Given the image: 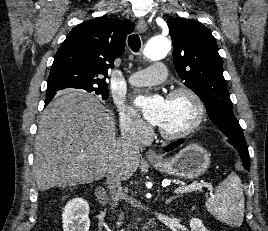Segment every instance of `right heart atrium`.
<instances>
[{
    "instance_id": "d8ad5b80",
    "label": "right heart atrium",
    "mask_w": 268,
    "mask_h": 231,
    "mask_svg": "<svg viewBox=\"0 0 268 231\" xmlns=\"http://www.w3.org/2000/svg\"><path fill=\"white\" fill-rule=\"evenodd\" d=\"M119 119L122 131L131 138H140L147 130V125L129 106L119 107Z\"/></svg>"
}]
</instances>
